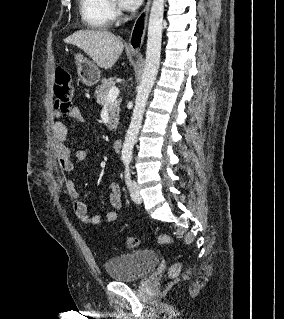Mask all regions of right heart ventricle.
<instances>
[{
    "label": "right heart ventricle",
    "instance_id": "1",
    "mask_svg": "<svg viewBox=\"0 0 284 319\" xmlns=\"http://www.w3.org/2000/svg\"><path fill=\"white\" fill-rule=\"evenodd\" d=\"M81 18L85 25L93 29L108 28L113 20L109 0H78Z\"/></svg>",
    "mask_w": 284,
    "mask_h": 319
}]
</instances>
